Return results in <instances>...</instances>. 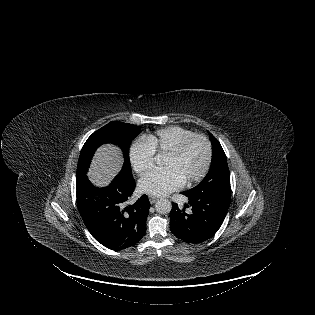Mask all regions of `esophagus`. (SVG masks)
I'll list each match as a JSON object with an SVG mask.
<instances>
[{
	"label": "esophagus",
	"instance_id": "esophagus-1",
	"mask_svg": "<svg viewBox=\"0 0 315 315\" xmlns=\"http://www.w3.org/2000/svg\"><path fill=\"white\" fill-rule=\"evenodd\" d=\"M158 199L154 196H149V201L151 204H154Z\"/></svg>",
	"mask_w": 315,
	"mask_h": 315
}]
</instances>
